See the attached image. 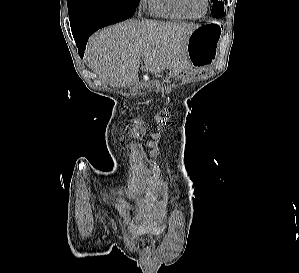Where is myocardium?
<instances>
[{"instance_id":"obj_1","label":"myocardium","mask_w":299,"mask_h":273,"mask_svg":"<svg viewBox=\"0 0 299 273\" xmlns=\"http://www.w3.org/2000/svg\"><path fill=\"white\" fill-rule=\"evenodd\" d=\"M180 8L183 10V12L191 19H200L202 17H204L206 15V13L208 12L209 9V0H204L205 2V9L203 11V13L199 16H193L192 14H190V12L188 11L186 4H185V0H178Z\"/></svg>"}]
</instances>
